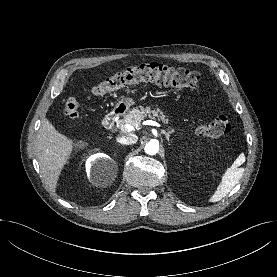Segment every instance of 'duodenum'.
<instances>
[{"label":"duodenum","instance_id":"duodenum-1","mask_svg":"<svg viewBox=\"0 0 277 277\" xmlns=\"http://www.w3.org/2000/svg\"><path fill=\"white\" fill-rule=\"evenodd\" d=\"M121 111H122L121 109H114V110H111L109 113H107L102 120L104 127L112 128Z\"/></svg>","mask_w":277,"mask_h":277}]
</instances>
